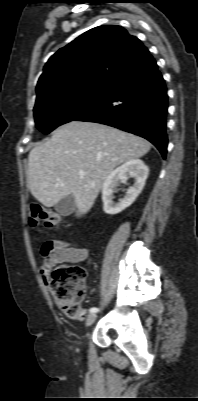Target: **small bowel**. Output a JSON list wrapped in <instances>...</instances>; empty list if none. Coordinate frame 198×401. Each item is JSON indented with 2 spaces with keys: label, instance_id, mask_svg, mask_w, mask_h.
<instances>
[{
  "label": "small bowel",
  "instance_id": "small-bowel-1",
  "mask_svg": "<svg viewBox=\"0 0 198 401\" xmlns=\"http://www.w3.org/2000/svg\"><path fill=\"white\" fill-rule=\"evenodd\" d=\"M42 262L40 274L48 281L51 269L62 262H90L91 256L87 248L62 239L47 240L40 248Z\"/></svg>",
  "mask_w": 198,
  "mask_h": 401
}]
</instances>
